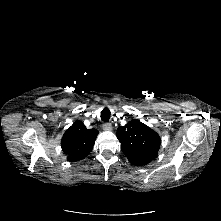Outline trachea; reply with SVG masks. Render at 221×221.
I'll return each instance as SVG.
<instances>
[{
	"instance_id": "3493384b",
	"label": "trachea",
	"mask_w": 221,
	"mask_h": 221,
	"mask_svg": "<svg viewBox=\"0 0 221 221\" xmlns=\"http://www.w3.org/2000/svg\"><path fill=\"white\" fill-rule=\"evenodd\" d=\"M101 119L104 122H108L110 119V110L105 107L102 111H101Z\"/></svg>"
}]
</instances>
